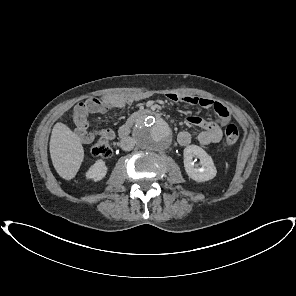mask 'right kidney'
<instances>
[{"label": "right kidney", "mask_w": 296, "mask_h": 296, "mask_svg": "<svg viewBox=\"0 0 296 296\" xmlns=\"http://www.w3.org/2000/svg\"><path fill=\"white\" fill-rule=\"evenodd\" d=\"M107 166L102 160H97L93 166L86 172V178L97 182L102 180L107 174Z\"/></svg>", "instance_id": "right-kidney-1"}]
</instances>
